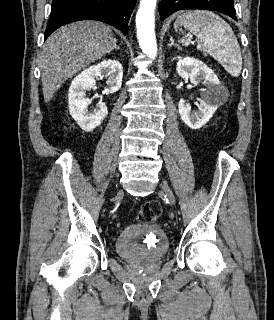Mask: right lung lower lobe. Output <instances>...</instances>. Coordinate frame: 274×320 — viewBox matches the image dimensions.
<instances>
[{
  "instance_id": "obj_1",
  "label": "right lung lower lobe",
  "mask_w": 274,
  "mask_h": 320,
  "mask_svg": "<svg viewBox=\"0 0 274 320\" xmlns=\"http://www.w3.org/2000/svg\"><path fill=\"white\" fill-rule=\"evenodd\" d=\"M136 0H52L45 39L57 28L80 20H97L127 33Z\"/></svg>"
}]
</instances>
